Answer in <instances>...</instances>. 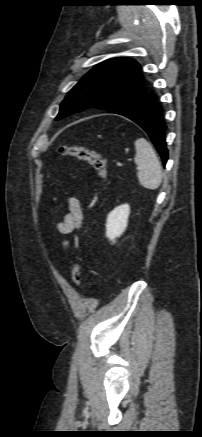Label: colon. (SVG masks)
I'll use <instances>...</instances> for the list:
<instances>
[{"mask_svg": "<svg viewBox=\"0 0 202 437\" xmlns=\"http://www.w3.org/2000/svg\"><path fill=\"white\" fill-rule=\"evenodd\" d=\"M56 153L61 156L75 157L80 161L87 162L97 172L98 177L102 182L108 178V171L105 160L93 150L83 146L62 145L56 149ZM71 278L74 285L78 286L81 283L82 270L78 261H75L72 266Z\"/></svg>", "mask_w": 202, "mask_h": 437, "instance_id": "5ec220e1", "label": "colon"}]
</instances>
